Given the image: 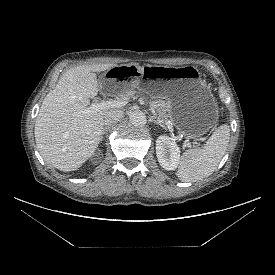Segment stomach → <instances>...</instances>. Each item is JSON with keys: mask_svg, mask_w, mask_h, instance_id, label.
Instances as JSON below:
<instances>
[{"mask_svg": "<svg viewBox=\"0 0 275 275\" xmlns=\"http://www.w3.org/2000/svg\"><path fill=\"white\" fill-rule=\"evenodd\" d=\"M103 92L119 94L141 89L153 97L167 99L169 115L179 133L197 139L219 118L210 87L194 65L180 67L124 64L105 71L99 79Z\"/></svg>", "mask_w": 275, "mask_h": 275, "instance_id": "obj_1", "label": "stomach"}]
</instances>
